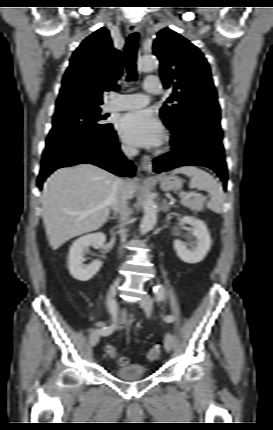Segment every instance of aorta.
<instances>
[{
    "label": "aorta",
    "mask_w": 273,
    "mask_h": 430,
    "mask_svg": "<svg viewBox=\"0 0 273 430\" xmlns=\"http://www.w3.org/2000/svg\"><path fill=\"white\" fill-rule=\"evenodd\" d=\"M157 59L154 55L142 56L139 60L138 70L144 73L152 72L157 67ZM157 222L156 202L152 196H148L144 203V216L140 225V233L151 231Z\"/></svg>",
    "instance_id": "obj_1"
}]
</instances>
